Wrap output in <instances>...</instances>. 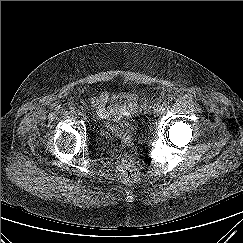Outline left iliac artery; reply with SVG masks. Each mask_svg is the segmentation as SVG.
Returning <instances> with one entry per match:
<instances>
[{"label": "left iliac artery", "instance_id": "1", "mask_svg": "<svg viewBox=\"0 0 243 243\" xmlns=\"http://www.w3.org/2000/svg\"><path fill=\"white\" fill-rule=\"evenodd\" d=\"M167 106H168V103L167 102L163 103L162 106H161L162 110H164L165 108H167Z\"/></svg>", "mask_w": 243, "mask_h": 243}]
</instances>
